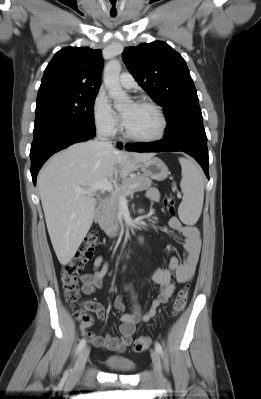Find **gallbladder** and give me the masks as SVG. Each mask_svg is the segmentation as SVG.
I'll return each instance as SVG.
<instances>
[{
  "label": "gallbladder",
  "mask_w": 261,
  "mask_h": 399,
  "mask_svg": "<svg viewBox=\"0 0 261 399\" xmlns=\"http://www.w3.org/2000/svg\"><path fill=\"white\" fill-rule=\"evenodd\" d=\"M96 202L99 203L100 202V197L96 198Z\"/></svg>",
  "instance_id": "obj_1"
}]
</instances>
